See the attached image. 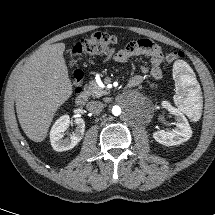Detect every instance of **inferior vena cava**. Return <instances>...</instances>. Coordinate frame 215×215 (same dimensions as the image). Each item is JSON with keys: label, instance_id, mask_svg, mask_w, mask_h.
Wrapping results in <instances>:
<instances>
[{"label": "inferior vena cava", "instance_id": "1", "mask_svg": "<svg viewBox=\"0 0 215 215\" xmlns=\"http://www.w3.org/2000/svg\"><path fill=\"white\" fill-rule=\"evenodd\" d=\"M103 108L104 104L99 101H90L87 104V109L94 114H99L103 110Z\"/></svg>", "mask_w": 215, "mask_h": 215}]
</instances>
